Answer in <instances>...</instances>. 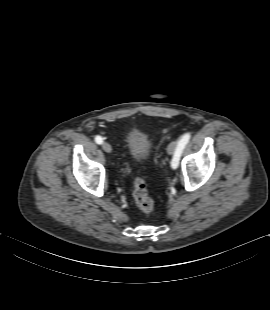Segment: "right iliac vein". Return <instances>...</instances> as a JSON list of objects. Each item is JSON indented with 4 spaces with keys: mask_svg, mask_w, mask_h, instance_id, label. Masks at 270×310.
<instances>
[{
    "mask_svg": "<svg viewBox=\"0 0 270 310\" xmlns=\"http://www.w3.org/2000/svg\"><path fill=\"white\" fill-rule=\"evenodd\" d=\"M102 149L106 152V153H110L112 151V147L109 143L104 142L102 143Z\"/></svg>",
    "mask_w": 270,
    "mask_h": 310,
    "instance_id": "obj_1",
    "label": "right iliac vein"
}]
</instances>
